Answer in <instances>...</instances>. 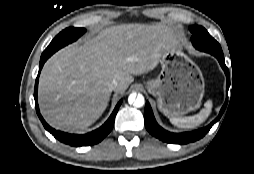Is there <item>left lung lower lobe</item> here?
<instances>
[{
	"label": "left lung lower lobe",
	"instance_id": "1",
	"mask_svg": "<svg viewBox=\"0 0 254 174\" xmlns=\"http://www.w3.org/2000/svg\"><path fill=\"white\" fill-rule=\"evenodd\" d=\"M214 56L218 59L221 67L223 68V70L226 74L227 92H228V88L230 85L229 70L225 65L223 54L222 55L215 54ZM226 105H227V100H226L224 106L222 107L219 116L205 128H201V129L193 131V132L171 133V132L164 130L162 127H160L157 124V122L154 118L151 106H150L149 102L147 101L146 106H145V112H144L145 127L151 135L155 136L156 138H158L164 142L173 143V144H180V145L187 144L189 142L197 141V140L201 139L203 136H205V134L210 130V128L213 126V124H215L220 119V117L222 116V114L225 110Z\"/></svg>",
	"mask_w": 254,
	"mask_h": 174
}]
</instances>
